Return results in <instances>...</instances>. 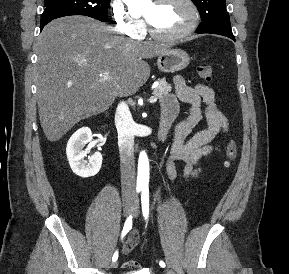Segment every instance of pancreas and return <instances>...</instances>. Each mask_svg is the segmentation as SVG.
<instances>
[{
    "label": "pancreas",
    "mask_w": 289,
    "mask_h": 274,
    "mask_svg": "<svg viewBox=\"0 0 289 274\" xmlns=\"http://www.w3.org/2000/svg\"><path fill=\"white\" fill-rule=\"evenodd\" d=\"M158 83H159L158 86L153 91V95L156 96L157 98H162L168 95V93L171 91V86L168 85V83L164 78L159 79Z\"/></svg>",
    "instance_id": "cf45deb5"
}]
</instances>
